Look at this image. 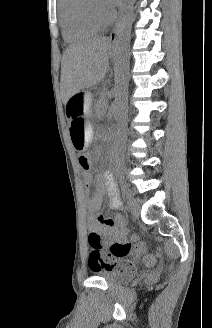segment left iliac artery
<instances>
[{
	"label": "left iliac artery",
	"instance_id": "44dca946",
	"mask_svg": "<svg viewBox=\"0 0 212 328\" xmlns=\"http://www.w3.org/2000/svg\"><path fill=\"white\" fill-rule=\"evenodd\" d=\"M121 188H122V191H123V193L126 195V196H128V194H129V188H128V186L125 184V183H121Z\"/></svg>",
	"mask_w": 212,
	"mask_h": 328
}]
</instances>
